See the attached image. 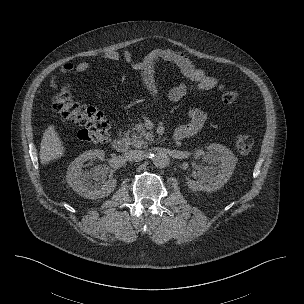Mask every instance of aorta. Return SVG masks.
<instances>
[{"mask_svg":"<svg viewBox=\"0 0 304 304\" xmlns=\"http://www.w3.org/2000/svg\"><path fill=\"white\" fill-rule=\"evenodd\" d=\"M152 162L157 168H165L170 163V158L163 152H158L152 157Z\"/></svg>","mask_w":304,"mask_h":304,"instance_id":"762f6f07","label":"aorta"}]
</instances>
